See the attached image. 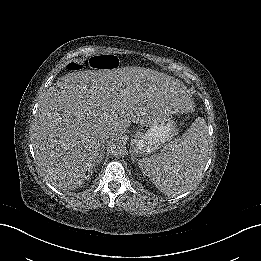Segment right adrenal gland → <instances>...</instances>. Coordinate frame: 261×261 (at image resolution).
<instances>
[{
	"label": "right adrenal gland",
	"mask_w": 261,
	"mask_h": 261,
	"mask_svg": "<svg viewBox=\"0 0 261 261\" xmlns=\"http://www.w3.org/2000/svg\"><path fill=\"white\" fill-rule=\"evenodd\" d=\"M104 155V145H103V148H102V156Z\"/></svg>",
	"instance_id": "right-adrenal-gland-1"
}]
</instances>
